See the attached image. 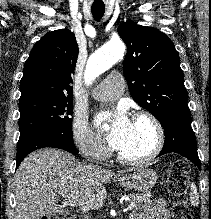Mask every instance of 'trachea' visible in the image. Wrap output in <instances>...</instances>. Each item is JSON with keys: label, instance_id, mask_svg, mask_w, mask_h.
Here are the masks:
<instances>
[{"label": "trachea", "instance_id": "obj_1", "mask_svg": "<svg viewBox=\"0 0 211 219\" xmlns=\"http://www.w3.org/2000/svg\"><path fill=\"white\" fill-rule=\"evenodd\" d=\"M91 12L96 21H99L105 13L104 5H93L91 7Z\"/></svg>", "mask_w": 211, "mask_h": 219}]
</instances>
